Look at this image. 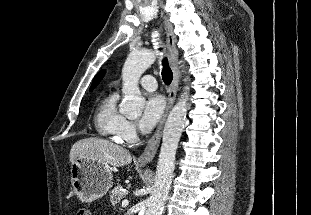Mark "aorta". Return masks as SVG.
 <instances>
[{
	"instance_id": "aorta-1",
	"label": "aorta",
	"mask_w": 311,
	"mask_h": 215,
	"mask_svg": "<svg viewBox=\"0 0 311 215\" xmlns=\"http://www.w3.org/2000/svg\"><path fill=\"white\" fill-rule=\"evenodd\" d=\"M152 50L133 51L127 57L123 69V101L120 112L129 119L141 115L144 98L138 81L146 69L155 61ZM189 87L186 86L178 102L172 108L163 130V140L156 167L153 191L148 200L146 215H161L172 183L175 156L187 115Z\"/></svg>"
}]
</instances>
